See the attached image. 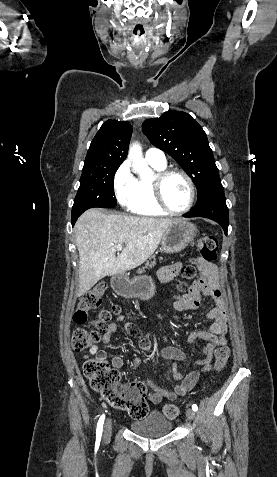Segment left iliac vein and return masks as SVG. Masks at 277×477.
I'll return each instance as SVG.
<instances>
[{
	"mask_svg": "<svg viewBox=\"0 0 277 477\" xmlns=\"http://www.w3.org/2000/svg\"><path fill=\"white\" fill-rule=\"evenodd\" d=\"M186 417L188 418V420H193L195 417V412L192 409L188 408L186 410Z\"/></svg>",
	"mask_w": 277,
	"mask_h": 477,
	"instance_id": "obj_1",
	"label": "left iliac vein"
}]
</instances>
